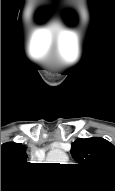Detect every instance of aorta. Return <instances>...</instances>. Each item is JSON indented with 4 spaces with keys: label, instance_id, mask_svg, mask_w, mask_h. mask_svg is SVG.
Returning <instances> with one entry per match:
<instances>
[{
    "label": "aorta",
    "instance_id": "obj_1",
    "mask_svg": "<svg viewBox=\"0 0 115 191\" xmlns=\"http://www.w3.org/2000/svg\"><path fill=\"white\" fill-rule=\"evenodd\" d=\"M48 160L53 163L66 164L68 161V156L61 150H53L49 153Z\"/></svg>",
    "mask_w": 115,
    "mask_h": 191
}]
</instances>
